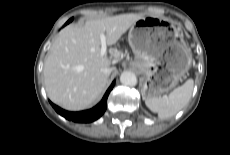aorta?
I'll return each mask as SVG.
<instances>
[{"label":"aorta","instance_id":"762f6f07","mask_svg":"<svg viewBox=\"0 0 230 155\" xmlns=\"http://www.w3.org/2000/svg\"><path fill=\"white\" fill-rule=\"evenodd\" d=\"M120 82L125 86H135L137 84V77L133 72L124 71L120 75Z\"/></svg>","mask_w":230,"mask_h":155}]
</instances>
